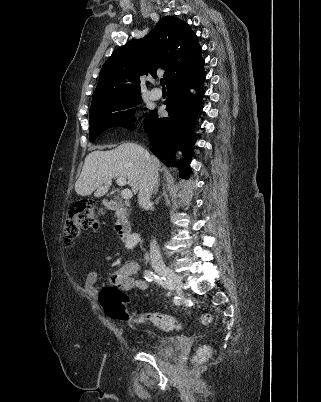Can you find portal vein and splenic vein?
Listing matches in <instances>:
<instances>
[{
	"instance_id": "portal-vein-and-splenic-vein-1",
	"label": "portal vein and splenic vein",
	"mask_w": 321,
	"mask_h": 402,
	"mask_svg": "<svg viewBox=\"0 0 321 402\" xmlns=\"http://www.w3.org/2000/svg\"><path fill=\"white\" fill-rule=\"evenodd\" d=\"M116 182H117V184H118L119 186H124V185H126V179H125L124 177H118L117 180H116ZM121 196H122V198H124V199H130V198H132V191H131L130 189H124V190H122V192H121Z\"/></svg>"
}]
</instances>
